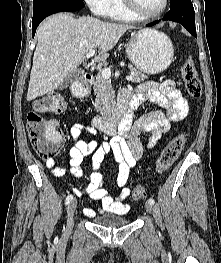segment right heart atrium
<instances>
[{
  "mask_svg": "<svg viewBox=\"0 0 221 263\" xmlns=\"http://www.w3.org/2000/svg\"><path fill=\"white\" fill-rule=\"evenodd\" d=\"M91 12L97 16H106L112 0H84Z\"/></svg>",
  "mask_w": 221,
  "mask_h": 263,
  "instance_id": "right-heart-atrium-1",
  "label": "right heart atrium"
}]
</instances>
